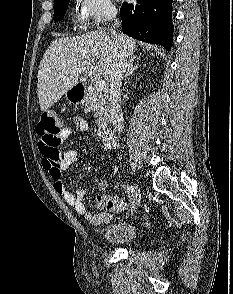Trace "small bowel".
I'll return each instance as SVG.
<instances>
[{"mask_svg":"<svg viewBox=\"0 0 233 294\" xmlns=\"http://www.w3.org/2000/svg\"><path fill=\"white\" fill-rule=\"evenodd\" d=\"M74 123L76 131L84 132L88 129V124L86 120L82 117H75ZM71 134L72 130L70 128H64L62 131V139H67L71 136ZM77 159L78 154L76 152V149H59V156L49 157L43 154L42 166L52 180L54 190L63 197L67 204H69L78 214L84 216L91 224H103L110 219V213L106 211H102L97 214H92L88 212L83 202L86 195L85 190L78 189L75 192H70L66 189L65 185L62 182V171L68 169L73 163L77 161ZM107 186L108 183L106 180L101 179L98 181V190H105ZM109 199L120 201L124 207V203L121 200L106 195L97 196L94 199V204L97 208L104 209L106 208L105 202Z\"/></svg>","mask_w":233,"mask_h":294,"instance_id":"c3829d8e","label":"small bowel"}]
</instances>
